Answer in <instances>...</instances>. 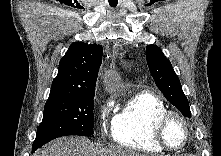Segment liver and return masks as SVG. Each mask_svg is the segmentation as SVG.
I'll list each match as a JSON object with an SVG mask.
<instances>
[{"label":"liver","mask_w":221,"mask_h":156,"mask_svg":"<svg viewBox=\"0 0 221 156\" xmlns=\"http://www.w3.org/2000/svg\"><path fill=\"white\" fill-rule=\"evenodd\" d=\"M34 156H145L136 151L119 146L102 147L85 137L71 136L56 139Z\"/></svg>","instance_id":"6515ba94"}]
</instances>
